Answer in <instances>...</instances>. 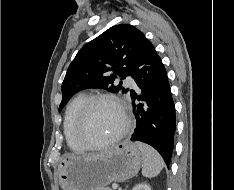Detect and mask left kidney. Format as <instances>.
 I'll use <instances>...</instances> for the list:
<instances>
[{
  "label": "left kidney",
  "instance_id": "5707ae66",
  "mask_svg": "<svg viewBox=\"0 0 234 190\" xmlns=\"http://www.w3.org/2000/svg\"><path fill=\"white\" fill-rule=\"evenodd\" d=\"M132 190H151V188L146 183H141L136 185Z\"/></svg>",
  "mask_w": 234,
  "mask_h": 190
}]
</instances>
